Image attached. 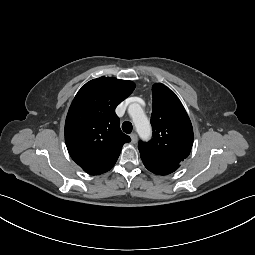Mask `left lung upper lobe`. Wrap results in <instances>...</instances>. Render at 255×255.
<instances>
[{
	"mask_svg": "<svg viewBox=\"0 0 255 255\" xmlns=\"http://www.w3.org/2000/svg\"><path fill=\"white\" fill-rule=\"evenodd\" d=\"M152 93L153 138L147 143L139 142L141 159L159 168H178L193 145L191 121L179 98L168 87L157 83Z\"/></svg>",
	"mask_w": 255,
	"mask_h": 255,
	"instance_id": "1",
	"label": "left lung upper lobe"
}]
</instances>
